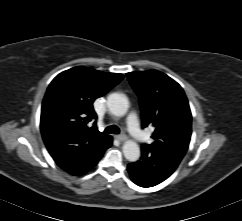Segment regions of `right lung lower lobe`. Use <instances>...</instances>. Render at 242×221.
I'll use <instances>...</instances> for the list:
<instances>
[{
    "instance_id": "98d812e1",
    "label": "right lung lower lobe",
    "mask_w": 242,
    "mask_h": 221,
    "mask_svg": "<svg viewBox=\"0 0 242 221\" xmlns=\"http://www.w3.org/2000/svg\"><path fill=\"white\" fill-rule=\"evenodd\" d=\"M112 145V138L110 137V139L108 140L107 144L105 145V147L102 149V151L96 155L93 156L92 160L90 161L89 165L80 170V171H74L73 169H69V168H62L63 170H65L66 172L72 174V175H80V174H84L87 171H89L90 169H92L100 160V158L102 157L104 151L109 148Z\"/></svg>"
}]
</instances>
